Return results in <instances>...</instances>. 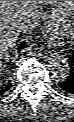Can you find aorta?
<instances>
[{
    "label": "aorta",
    "instance_id": "obj_1",
    "mask_svg": "<svg viewBox=\"0 0 74 122\" xmlns=\"http://www.w3.org/2000/svg\"><path fill=\"white\" fill-rule=\"evenodd\" d=\"M45 61L47 69L54 75H66L69 72L68 59L61 53H51Z\"/></svg>",
    "mask_w": 74,
    "mask_h": 122
}]
</instances>
